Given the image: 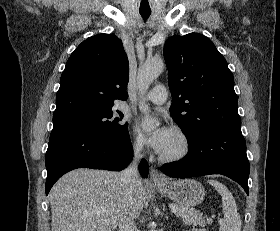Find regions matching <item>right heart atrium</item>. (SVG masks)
Segmentation results:
<instances>
[{
    "label": "right heart atrium",
    "instance_id": "obj_1",
    "mask_svg": "<svg viewBox=\"0 0 280 231\" xmlns=\"http://www.w3.org/2000/svg\"><path fill=\"white\" fill-rule=\"evenodd\" d=\"M131 149L134 152H141L144 149V142L139 136H135L131 142Z\"/></svg>",
    "mask_w": 280,
    "mask_h": 231
}]
</instances>
